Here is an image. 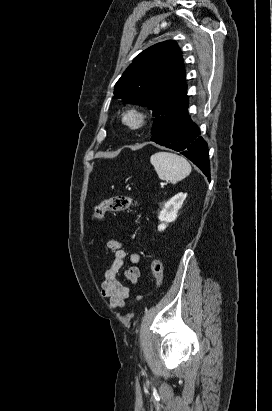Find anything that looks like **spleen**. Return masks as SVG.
I'll return each mask as SVG.
<instances>
[{"label":"spleen","instance_id":"1","mask_svg":"<svg viewBox=\"0 0 272 411\" xmlns=\"http://www.w3.org/2000/svg\"><path fill=\"white\" fill-rule=\"evenodd\" d=\"M158 177L175 184L191 173V165L182 156L170 152H157L150 158Z\"/></svg>","mask_w":272,"mask_h":411}]
</instances>
